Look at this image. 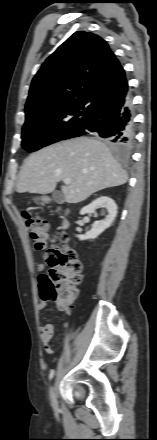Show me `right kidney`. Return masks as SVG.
I'll return each mask as SVG.
<instances>
[{
	"label": "right kidney",
	"instance_id": "1",
	"mask_svg": "<svg viewBox=\"0 0 157 440\" xmlns=\"http://www.w3.org/2000/svg\"><path fill=\"white\" fill-rule=\"evenodd\" d=\"M104 208L108 212L106 217L101 221H96L93 227L85 235H77L80 240H88L97 238L102 232L111 226L116 215H117V205L113 199L107 196H101L89 205L83 207L80 211L81 215L86 213L93 214L96 209Z\"/></svg>",
	"mask_w": 157,
	"mask_h": 440
}]
</instances>
